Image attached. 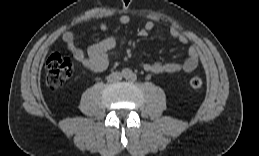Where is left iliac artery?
Returning a JSON list of instances; mask_svg holds the SVG:
<instances>
[{
	"label": "left iliac artery",
	"instance_id": "44dca946",
	"mask_svg": "<svg viewBox=\"0 0 259 156\" xmlns=\"http://www.w3.org/2000/svg\"><path fill=\"white\" fill-rule=\"evenodd\" d=\"M129 79L131 80V81H136L137 80V76H136V74H130L129 75Z\"/></svg>",
	"mask_w": 259,
	"mask_h": 156
}]
</instances>
